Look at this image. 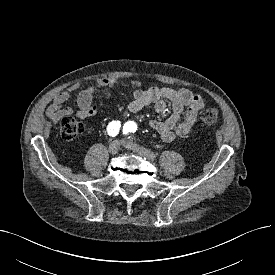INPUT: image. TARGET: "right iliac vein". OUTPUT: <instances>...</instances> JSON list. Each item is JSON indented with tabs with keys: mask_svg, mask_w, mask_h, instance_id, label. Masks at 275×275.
I'll use <instances>...</instances> for the list:
<instances>
[{
	"mask_svg": "<svg viewBox=\"0 0 275 275\" xmlns=\"http://www.w3.org/2000/svg\"><path fill=\"white\" fill-rule=\"evenodd\" d=\"M120 149V142L118 140H114L109 144L108 151L111 154H116Z\"/></svg>",
	"mask_w": 275,
	"mask_h": 275,
	"instance_id": "1",
	"label": "right iliac vein"
}]
</instances>
